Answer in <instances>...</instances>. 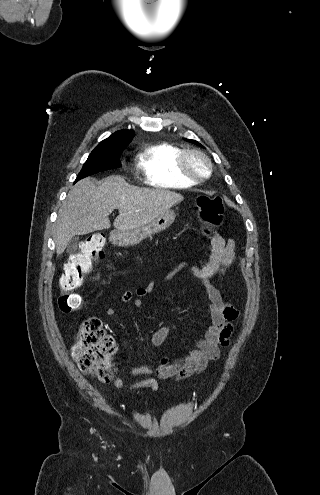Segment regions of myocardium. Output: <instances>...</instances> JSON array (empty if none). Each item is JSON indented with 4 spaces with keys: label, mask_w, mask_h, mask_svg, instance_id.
Instances as JSON below:
<instances>
[{
    "label": "myocardium",
    "mask_w": 320,
    "mask_h": 495,
    "mask_svg": "<svg viewBox=\"0 0 320 495\" xmlns=\"http://www.w3.org/2000/svg\"><path fill=\"white\" fill-rule=\"evenodd\" d=\"M192 157H199L206 164L207 170L204 174L195 173L191 169L189 162ZM177 167L182 176L194 183H199L208 179L213 171V164L209 156L202 150L196 148L182 150L177 160Z\"/></svg>",
    "instance_id": "1"
}]
</instances>
